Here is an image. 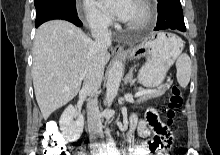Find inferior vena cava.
Returning <instances> with one entry per match:
<instances>
[{
    "mask_svg": "<svg viewBox=\"0 0 220 155\" xmlns=\"http://www.w3.org/2000/svg\"><path fill=\"white\" fill-rule=\"evenodd\" d=\"M89 24L94 42L88 52V63L82 92L89 96L87 102L88 129L91 136L102 134V123L98 102L95 99L101 86L106 65L107 48L111 45V34L104 16L95 14L89 18Z\"/></svg>",
    "mask_w": 220,
    "mask_h": 155,
    "instance_id": "obj_1",
    "label": "inferior vena cava"
}]
</instances>
